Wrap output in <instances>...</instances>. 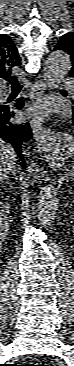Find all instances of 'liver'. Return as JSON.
Segmentation results:
<instances>
[{
  "mask_svg": "<svg viewBox=\"0 0 74 366\" xmlns=\"http://www.w3.org/2000/svg\"><path fill=\"white\" fill-rule=\"evenodd\" d=\"M17 153L10 144L0 140V179L3 180L15 169Z\"/></svg>",
  "mask_w": 74,
  "mask_h": 366,
  "instance_id": "obj_1",
  "label": "liver"
}]
</instances>
